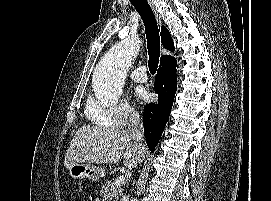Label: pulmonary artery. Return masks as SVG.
Returning <instances> with one entry per match:
<instances>
[{
    "mask_svg": "<svg viewBox=\"0 0 271 201\" xmlns=\"http://www.w3.org/2000/svg\"><path fill=\"white\" fill-rule=\"evenodd\" d=\"M130 77L135 82H145L148 79V76L146 74V67L141 66L134 71L131 72Z\"/></svg>",
    "mask_w": 271,
    "mask_h": 201,
    "instance_id": "pulmonary-artery-1",
    "label": "pulmonary artery"
}]
</instances>
